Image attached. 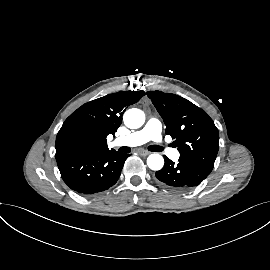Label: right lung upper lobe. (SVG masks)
Here are the masks:
<instances>
[{
    "mask_svg": "<svg viewBox=\"0 0 270 270\" xmlns=\"http://www.w3.org/2000/svg\"><path fill=\"white\" fill-rule=\"evenodd\" d=\"M144 91H119L85 103L63 123L56 138V161L91 151L108 150L106 137L121 125L126 108Z\"/></svg>",
    "mask_w": 270,
    "mask_h": 270,
    "instance_id": "cb5924a9",
    "label": "right lung upper lobe"
}]
</instances>
